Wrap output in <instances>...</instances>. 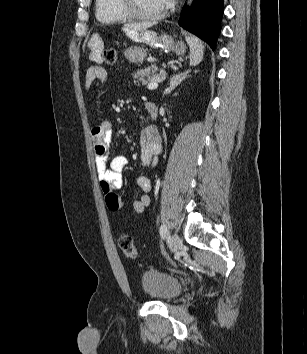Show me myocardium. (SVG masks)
<instances>
[{"instance_id":"myocardium-1","label":"myocardium","mask_w":307,"mask_h":354,"mask_svg":"<svg viewBox=\"0 0 307 354\" xmlns=\"http://www.w3.org/2000/svg\"><path fill=\"white\" fill-rule=\"evenodd\" d=\"M117 6L124 15L134 20L154 21L160 19L164 14L163 9L155 14H143L136 9L134 0H117Z\"/></svg>"}]
</instances>
